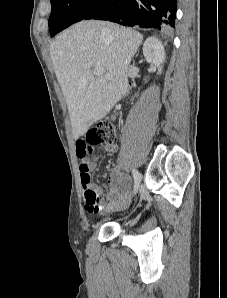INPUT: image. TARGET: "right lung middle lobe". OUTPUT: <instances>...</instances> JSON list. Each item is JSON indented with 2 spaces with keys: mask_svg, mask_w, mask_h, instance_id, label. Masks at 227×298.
<instances>
[{
  "mask_svg": "<svg viewBox=\"0 0 227 298\" xmlns=\"http://www.w3.org/2000/svg\"><path fill=\"white\" fill-rule=\"evenodd\" d=\"M52 11L49 18L51 36L84 19L105 0H50Z\"/></svg>",
  "mask_w": 227,
  "mask_h": 298,
  "instance_id": "1",
  "label": "right lung middle lobe"
}]
</instances>
